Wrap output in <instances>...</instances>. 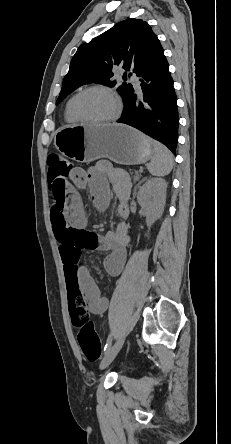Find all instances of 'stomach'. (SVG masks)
<instances>
[{"label":"stomach","instance_id":"obj_1","mask_svg":"<svg viewBox=\"0 0 231 444\" xmlns=\"http://www.w3.org/2000/svg\"><path fill=\"white\" fill-rule=\"evenodd\" d=\"M54 145L66 157L86 163L108 158L118 164L137 165L154 154L152 140L123 124L63 126L55 133Z\"/></svg>","mask_w":231,"mask_h":444}]
</instances>
